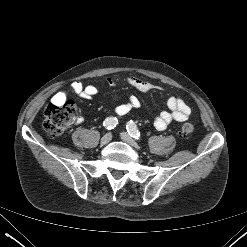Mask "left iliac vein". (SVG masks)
Wrapping results in <instances>:
<instances>
[{
	"label": "left iliac vein",
	"instance_id": "left-iliac-vein-1",
	"mask_svg": "<svg viewBox=\"0 0 247 247\" xmlns=\"http://www.w3.org/2000/svg\"><path fill=\"white\" fill-rule=\"evenodd\" d=\"M121 138L124 142L128 143L129 145H131L133 148L139 150L140 147L138 146V144L130 137L129 134H127L126 132H122L121 133Z\"/></svg>",
	"mask_w": 247,
	"mask_h": 247
}]
</instances>
